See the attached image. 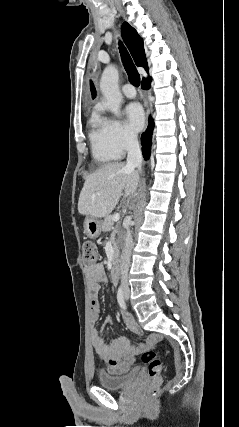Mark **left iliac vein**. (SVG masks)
I'll return each instance as SVG.
<instances>
[{
	"instance_id": "1",
	"label": "left iliac vein",
	"mask_w": 239,
	"mask_h": 427,
	"mask_svg": "<svg viewBox=\"0 0 239 427\" xmlns=\"http://www.w3.org/2000/svg\"><path fill=\"white\" fill-rule=\"evenodd\" d=\"M125 298L128 299V293H126Z\"/></svg>"
}]
</instances>
